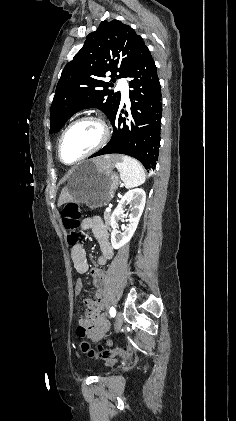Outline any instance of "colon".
Here are the masks:
<instances>
[{
  "label": "colon",
  "mask_w": 236,
  "mask_h": 421,
  "mask_svg": "<svg viewBox=\"0 0 236 421\" xmlns=\"http://www.w3.org/2000/svg\"><path fill=\"white\" fill-rule=\"evenodd\" d=\"M61 217L64 227L67 230L71 231V233L68 236L69 244L78 248L82 239V233L76 231L79 227L81 218L80 207L76 203H67L62 208ZM82 331L83 327H79L78 332L81 333ZM79 347L83 353H85L88 357L94 359L110 360L116 356L122 358H130L133 355L132 352L126 348L95 349L87 341H82Z\"/></svg>",
  "instance_id": "1"
}]
</instances>
